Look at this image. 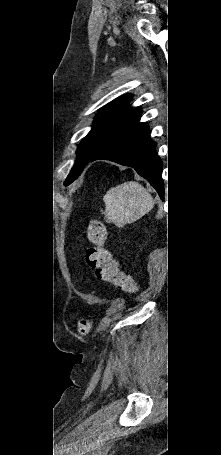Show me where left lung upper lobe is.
<instances>
[{
  "instance_id": "left-lung-upper-lobe-1",
  "label": "left lung upper lobe",
  "mask_w": 221,
  "mask_h": 455,
  "mask_svg": "<svg viewBox=\"0 0 221 455\" xmlns=\"http://www.w3.org/2000/svg\"><path fill=\"white\" fill-rule=\"evenodd\" d=\"M131 95H123L102 108L88 135L78 145L75 165L65 185L70 184L83 171L86 164L112 139L140 120L141 111L128 106Z\"/></svg>"
}]
</instances>
